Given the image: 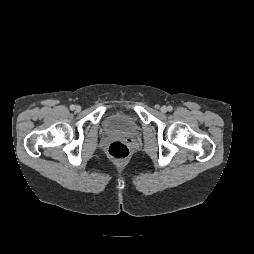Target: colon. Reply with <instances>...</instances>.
Returning a JSON list of instances; mask_svg holds the SVG:
<instances>
[{
    "mask_svg": "<svg viewBox=\"0 0 254 254\" xmlns=\"http://www.w3.org/2000/svg\"><path fill=\"white\" fill-rule=\"evenodd\" d=\"M107 154L112 161L123 163L129 158L130 150L126 143L115 141L108 146Z\"/></svg>",
    "mask_w": 254,
    "mask_h": 254,
    "instance_id": "colon-1",
    "label": "colon"
}]
</instances>
